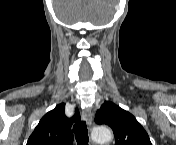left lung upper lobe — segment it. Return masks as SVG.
Here are the masks:
<instances>
[{"instance_id":"left-lung-upper-lobe-1","label":"left lung upper lobe","mask_w":176,"mask_h":145,"mask_svg":"<svg viewBox=\"0 0 176 145\" xmlns=\"http://www.w3.org/2000/svg\"><path fill=\"white\" fill-rule=\"evenodd\" d=\"M95 122L113 129L115 145H151L147 132L135 117L112 102H104L95 115Z\"/></svg>"}]
</instances>
